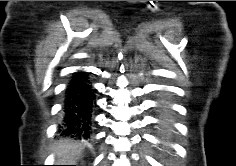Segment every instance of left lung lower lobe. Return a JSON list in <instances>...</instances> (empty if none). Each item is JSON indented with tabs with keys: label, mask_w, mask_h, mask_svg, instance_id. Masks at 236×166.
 Wrapping results in <instances>:
<instances>
[{
	"label": "left lung lower lobe",
	"mask_w": 236,
	"mask_h": 166,
	"mask_svg": "<svg viewBox=\"0 0 236 166\" xmlns=\"http://www.w3.org/2000/svg\"><path fill=\"white\" fill-rule=\"evenodd\" d=\"M160 115L162 117V124L161 127L163 130L169 129V116H170V109L168 108V105L166 103H163L160 107Z\"/></svg>",
	"instance_id": "1"
}]
</instances>
